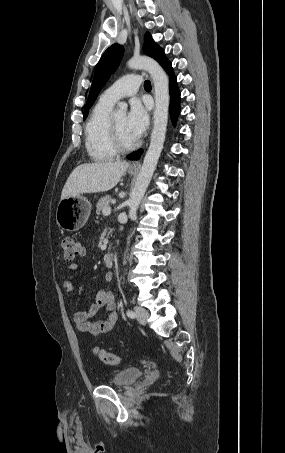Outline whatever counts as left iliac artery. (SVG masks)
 <instances>
[{"mask_svg":"<svg viewBox=\"0 0 285 453\" xmlns=\"http://www.w3.org/2000/svg\"><path fill=\"white\" fill-rule=\"evenodd\" d=\"M127 316L130 317V318H135L136 314L135 312H133L132 310H128L126 312Z\"/></svg>","mask_w":285,"mask_h":453,"instance_id":"1","label":"left iliac artery"}]
</instances>
